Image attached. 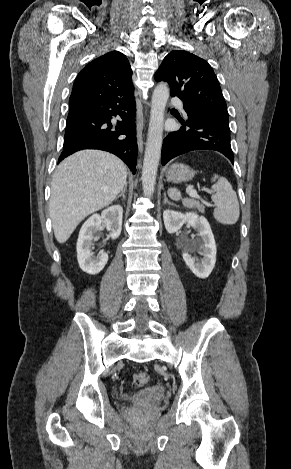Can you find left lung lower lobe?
<instances>
[{"instance_id": "obj_1", "label": "left lung lower lobe", "mask_w": 291, "mask_h": 469, "mask_svg": "<svg viewBox=\"0 0 291 469\" xmlns=\"http://www.w3.org/2000/svg\"><path fill=\"white\" fill-rule=\"evenodd\" d=\"M184 109L186 119H179L182 127L164 138L162 165L178 155L199 149L219 151L233 162L229 121L203 113L187 104H184Z\"/></svg>"}]
</instances>
